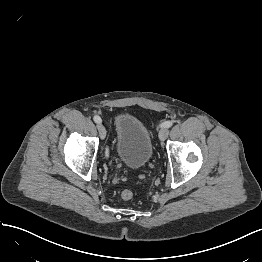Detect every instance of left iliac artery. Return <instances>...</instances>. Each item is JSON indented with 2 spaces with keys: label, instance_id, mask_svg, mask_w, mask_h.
<instances>
[{
  "label": "left iliac artery",
  "instance_id": "obj_1",
  "mask_svg": "<svg viewBox=\"0 0 262 262\" xmlns=\"http://www.w3.org/2000/svg\"><path fill=\"white\" fill-rule=\"evenodd\" d=\"M173 125L172 121H165L161 124V127H171Z\"/></svg>",
  "mask_w": 262,
  "mask_h": 262
}]
</instances>
